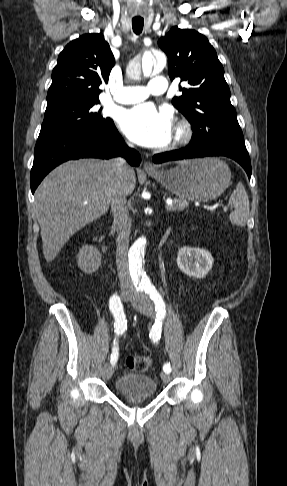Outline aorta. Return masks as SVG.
Instances as JSON below:
<instances>
[{
  "mask_svg": "<svg viewBox=\"0 0 287 486\" xmlns=\"http://www.w3.org/2000/svg\"><path fill=\"white\" fill-rule=\"evenodd\" d=\"M166 64L165 57H158L157 63L154 64V60L152 58L145 61L142 65V70L144 75H148L151 73L152 69L154 72L161 70ZM154 66V68H153ZM146 237L141 236L139 237L130 247L128 252L129 258V266L130 271L134 278H136L139 283L143 286H150V280L146 276L143 268L142 263L144 259V251L146 246Z\"/></svg>",
  "mask_w": 287,
  "mask_h": 486,
  "instance_id": "1",
  "label": "aorta"
}]
</instances>
